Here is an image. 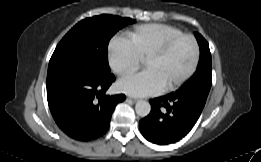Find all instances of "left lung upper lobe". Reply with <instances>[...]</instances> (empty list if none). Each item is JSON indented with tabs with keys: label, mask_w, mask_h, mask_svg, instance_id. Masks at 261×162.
<instances>
[{
	"label": "left lung upper lobe",
	"mask_w": 261,
	"mask_h": 162,
	"mask_svg": "<svg viewBox=\"0 0 261 162\" xmlns=\"http://www.w3.org/2000/svg\"><path fill=\"white\" fill-rule=\"evenodd\" d=\"M195 37L200 47V59L196 72L184 86L203 85L211 88L212 72L209 45L201 34L195 33Z\"/></svg>",
	"instance_id": "5c2ea615"
}]
</instances>
